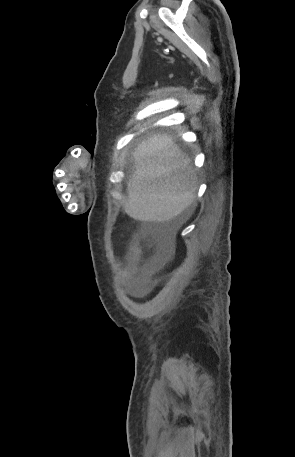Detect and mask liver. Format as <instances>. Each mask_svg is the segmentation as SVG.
<instances>
[{"label":"liver","mask_w":295,"mask_h":457,"mask_svg":"<svg viewBox=\"0 0 295 457\" xmlns=\"http://www.w3.org/2000/svg\"><path fill=\"white\" fill-rule=\"evenodd\" d=\"M134 172L126 183L125 212L140 221H170L195 200L197 175L172 136L154 134L133 153Z\"/></svg>","instance_id":"6515ba94"}]
</instances>
